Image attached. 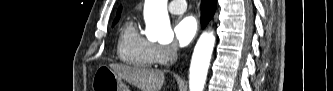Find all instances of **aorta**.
I'll list each match as a JSON object with an SVG mask.
<instances>
[{"label": "aorta", "mask_w": 333, "mask_h": 91, "mask_svg": "<svg viewBox=\"0 0 333 91\" xmlns=\"http://www.w3.org/2000/svg\"><path fill=\"white\" fill-rule=\"evenodd\" d=\"M144 19L146 36L149 40L164 43L173 39L174 34L167 12V0H145ZM214 45L213 32H204L200 36L190 65V91H203Z\"/></svg>", "instance_id": "obj_1"}]
</instances>
